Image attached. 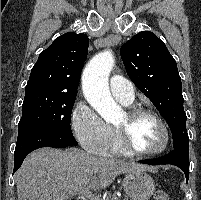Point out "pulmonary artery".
<instances>
[{"instance_id": "obj_1", "label": "pulmonary artery", "mask_w": 201, "mask_h": 200, "mask_svg": "<svg viewBox=\"0 0 201 200\" xmlns=\"http://www.w3.org/2000/svg\"><path fill=\"white\" fill-rule=\"evenodd\" d=\"M110 90L117 100L126 103H132L135 97V89L130 81L120 75H114L110 78Z\"/></svg>"}]
</instances>
